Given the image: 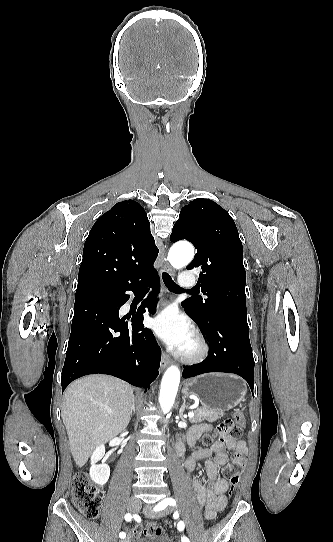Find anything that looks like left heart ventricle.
Returning a JSON list of instances; mask_svg holds the SVG:
<instances>
[{
  "mask_svg": "<svg viewBox=\"0 0 333 542\" xmlns=\"http://www.w3.org/2000/svg\"><path fill=\"white\" fill-rule=\"evenodd\" d=\"M194 348V338H192L187 344L186 346L184 347V349L182 350V352H190L192 351Z\"/></svg>",
  "mask_w": 333,
  "mask_h": 542,
  "instance_id": "1",
  "label": "left heart ventricle"
}]
</instances>
